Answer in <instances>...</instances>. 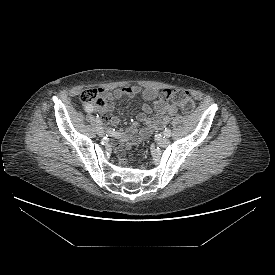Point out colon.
Here are the masks:
<instances>
[{"label": "colon", "mask_w": 275, "mask_h": 275, "mask_svg": "<svg viewBox=\"0 0 275 275\" xmlns=\"http://www.w3.org/2000/svg\"><path fill=\"white\" fill-rule=\"evenodd\" d=\"M158 99L172 103L180 107L184 112L190 113L195 107L192 96L185 90L165 89L158 94ZM81 100L86 104L102 107L105 104L104 98L97 89H86L81 93Z\"/></svg>", "instance_id": "1"}]
</instances>
